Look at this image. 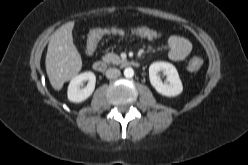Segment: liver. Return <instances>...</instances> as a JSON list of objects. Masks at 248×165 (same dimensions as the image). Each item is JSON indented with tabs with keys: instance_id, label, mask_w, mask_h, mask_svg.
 Wrapping results in <instances>:
<instances>
[{
	"instance_id": "obj_1",
	"label": "liver",
	"mask_w": 248,
	"mask_h": 165,
	"mask_svg": "<svg viewBox=\"0 0 248 165\" xmlns=\"http://www.w3.org/2000/svg\"><path fill=\"white\" fill-rule=\"evenodd\" d=\"M73 27V21L62 25L52 34L48 44L46 72L51 86L58 91L82 68L81 56L73 43Z\"/></svg>"
}]
</instances>
